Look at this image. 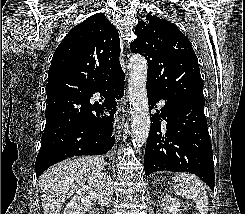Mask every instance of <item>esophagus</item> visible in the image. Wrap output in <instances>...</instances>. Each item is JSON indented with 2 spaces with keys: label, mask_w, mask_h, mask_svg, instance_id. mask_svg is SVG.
I'll list each match as a JSON object with an SVG mask.
<instances>
[{
  "label": "esophagus",
  "mask_w": 245,
  "mask_h": 214,
  "mask_svg": "<svg viewBox=\"0 0 245 214\" xmlns=\"http://www.w3.org/2000/svg\"><path fill=\"white\" fill-rule=\"evenodd\" d=\"M118 121V120H117ZM122 127V124L121 122L118 123L115 128H114V135H115V138L118 140L120 138V129Z\"/></svg>",
  "instance_id": "1"
}]
</instances>
